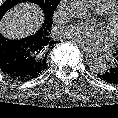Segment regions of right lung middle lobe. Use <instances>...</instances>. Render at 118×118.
I'll list each match as a JSON object with an SVG mask.
<instances>
[{"mask_svg":"<svg viewBox=\"0 0 118 118\" xmlns=\"http://www.w3.org/2000/svg\"><path fill=\"white\" fill-rule=\"evenodd\" d=\"M21 2H31L37 4L44 12L45 21H50L52 20L53 13L60 0H6L0 6V20L10 8Z\"/></svg>","mask_w":118,"mask_h":118,"instance_id":"right-lung-middle-lobe-1","label":"right lung middle lobe"}]
</instances>
